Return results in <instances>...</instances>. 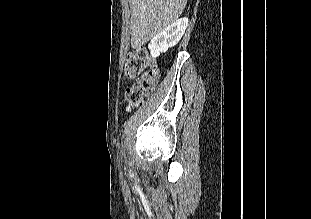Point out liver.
I'll use <instances>...</instances> for the list:
<instances>
[{
    "mask_svg": "<svg viewBox=\"0 0 311 219\" xmlns=\"http://www.w3.org/2000/svg\"><path fill=\"white\" fill-rule=\"evenodd\" d=\"M187 0H130L131 47L138 48L174 23Z\"/></svg>",
    "mask_w": 311,
    "mask_h": 219,
    "instance_id": "1",
    "label": "liver"
}]
</instances>
